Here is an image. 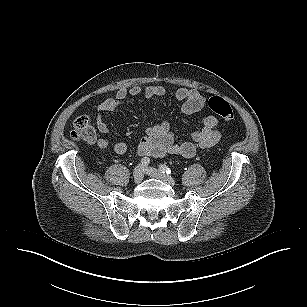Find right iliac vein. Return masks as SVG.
<instances>
[{
  "mask_svg": "<svg viewBox=\"0 0 307 307\" xmlns=\"http://www.w3.org/2000/svg\"><path fill=\"white\" fill-rule=\"evenodd\" d=\"M144 177V171L142 165L136 166V168L133 171V180L136 184H139Z\"/></svg>",
  "mask_w": 307,
  "mask_h": 307,
  "instance_id": "obj_1",
  "label": "right iliac vein"
}]
</instances>
